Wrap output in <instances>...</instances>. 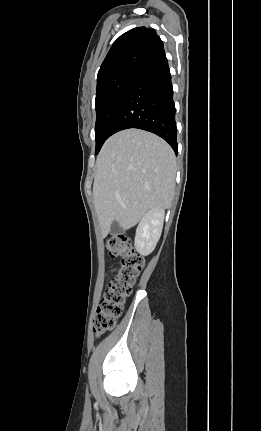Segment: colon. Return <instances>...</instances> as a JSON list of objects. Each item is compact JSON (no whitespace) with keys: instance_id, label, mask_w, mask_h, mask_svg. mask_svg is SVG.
<instances>
[{"instance_id":"colon-1","label":"colon","mask_w":261,"mask_h":431,"mask_svg":"<svg viewBox=\"0 0 261 431\" xmlns=\"http://www.w3.org/2000/svg\"><path fill=\"white\" fill-rule=\"evenodd\" d=\"M106 248L111 257L119 258V262L93 321V332L97 336L115 326L125 299L131 294L136 278L144 267V258L136 252L129 237H111L106 242Z\"/></svg>"}]
</instances>
